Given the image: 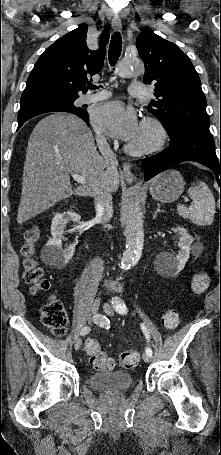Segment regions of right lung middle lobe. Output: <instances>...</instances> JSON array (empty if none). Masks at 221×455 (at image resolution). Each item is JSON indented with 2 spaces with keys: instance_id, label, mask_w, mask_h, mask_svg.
I'll list each match as a JSON object with an SVG mask.
<instances>
[{
  "instance_id": "1",
  "label": "right lung middle lobe",
  "mask_w": 221,
  "mask_h": 455,
  "mask_svg": "<svg viewBox=\"0 0 221 455\" xmlns=\"http://www.w3.org/2000/svg\"><path fill=\"white\" fill-rule=\"evenodd\" d=\"M76 99H77V98H72V99L60 101V102L55 103V104H53V105H51V106H49V107H47V108H45V109H53V110L61 109V110H67V111H69V112H71V113H73V114L84 116L86 110L74 106V101H75ZM27 112H30V111L20 110L18 116H19V115H22V114H24V113H27Z\"/></svg>"
}]
</instances>
